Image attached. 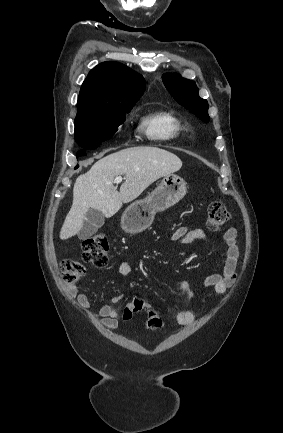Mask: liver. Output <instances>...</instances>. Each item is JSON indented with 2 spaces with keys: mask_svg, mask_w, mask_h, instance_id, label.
Instances as JSON below:
<instances>
[{
  "mask_svg": "<svg viewBox=\"0 0 283 433\" xmlns=\"http://www.w3.org/2000/svg\"><path fill=\"white\" fill-rule=\"evenodd\" d=\"M182 160L157 146H131L97 160L88 172L80 174L73 186V204L60 231V239H70L83 227L89 208H98L105 217H113L122 206L137 198L151 182L176 172ZM125 174L120 190L113 184L115 176Z\"/></svg>",
  "mask_w": 283,
  "mask_h": 433,
  "instance_id": "obj_1",
  "label": "liver"
}]
</instances>
